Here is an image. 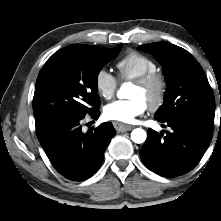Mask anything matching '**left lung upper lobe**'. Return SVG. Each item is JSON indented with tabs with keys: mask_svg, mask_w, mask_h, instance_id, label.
<instances>
[{
	"mask_svg": "<svg viewBox=\"0 0 221 221\" xmlns=\"http://www.w3.org/2000/svg\"><path fill=\"white\" fill-rule=\"evenodd\" d=\"M153 54L163 66L167 90L163 105L155 114L158 121L190 117L213 127L215 100L207 77L195 58L168 42L139 46Z\"/></svg>",
	"mask_w": 221,
	"mask_h": 221,
	"instance_id": "left-lung-upper-lobe-1",
	"label": "left lung upper lobe"
}]
</instances>
